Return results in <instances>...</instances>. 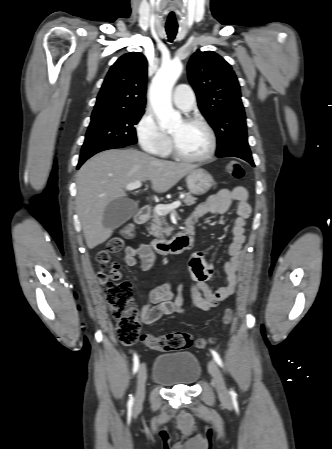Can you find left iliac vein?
<instances>
[{
  "mask_svg": "<svg viewBox=\"0 0 332 449\" xmlns=\"http://www.w3.org/2000/svg\"><path fill=\"white\" fill-rule=\"evenodd\" d=\"M208 370L213 377V385L216 388L219 396L223 399L229 398V391L225 385L222 372L215 361L211 360L208 363Z\"/></svg>",
  "mask_w": 332,
  "mask_h": 449,
  "instance_id": "left-iliac-vein-1",
  "label": "left iliac vein"
}]
</instances>
